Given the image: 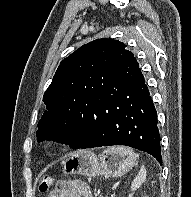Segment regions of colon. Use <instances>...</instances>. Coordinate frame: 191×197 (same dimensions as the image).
Listing matches in <instances>:
<instances>
[{
  "mask_svg": "<svg viewBox=\"0 0 191 197\" xmlns=\"http://www.w3.org/2000/svg\"><path fill=\"white\" fill-rule=\"evenodd\" d=\"M55 178L52 176H45L39 185V190L41 192H47L50 190V188L54 185Z\"/></svg>",
  "mask_w": 191,
  "mask_h": 197,
  "instance_id": "5ec220e1",
  "label": "colon"
}]
</instances>
